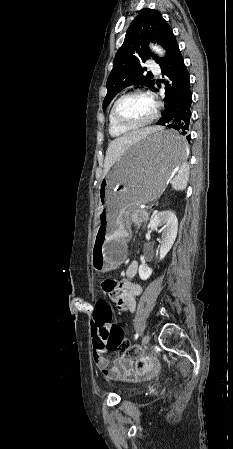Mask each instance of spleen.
<instances>
[{
    "mask_svg": "<svg viewBox=\"0 0 233 449\" xmlns=\"http://www.w3.org/2000/svg\"><path fill=\"white\" fill-rule=\"evenodd\" d=\"M189 178V166L184 163L181 165L179 173L172 180V188L176 191H183Z\"/></svg>",
    "mask_w": 233,
    "mask_h": 449,
    "instance_id": "1",
    "label": "spleen"
}]
</instances>
